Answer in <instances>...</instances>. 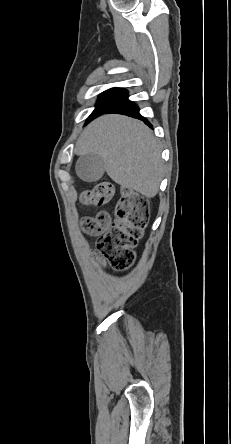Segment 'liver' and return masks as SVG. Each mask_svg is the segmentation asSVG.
Segmentation results:
<instances>
[{"instance_id": "1", "label": "liver", "mask_w": 231, "mask_h": 444, "mask_svg": "<svg viewBox=\"0 0 231 444\" xmlns=\"http://www.w3.org/2000/svg\"><path fill=\"white\" fill-rule=\"evenodd\" d=\"M75 153L100 156L108 176L123 188L154 197L163 178L161 148L151 130L123 115H103L80 135Z\"/></svg>"}]
</instances>
